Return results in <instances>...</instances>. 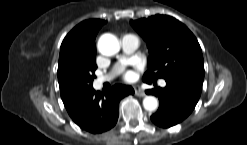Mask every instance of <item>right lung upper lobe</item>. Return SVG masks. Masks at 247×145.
Returning <instances> with one entry per match:
<instances>
[{
  "label": "right lung upper lobe",
  "instance_id": "cb5924a9",
  "mask_svg": "<svg viewBox=\"0 0 247 145\" xmlns=\"http://www.w3.org/2000/svg\"><path fill=\"white\" fill-rule=\"evenodd\" d=\"M105 23L104 20L91 19L74 27L61 44L60 57L70 54L86 59H95V38Z\"/></svg>",
  "mask_w": 247,
  "mask_h": 145
}]
</instances>
